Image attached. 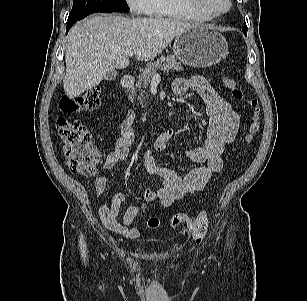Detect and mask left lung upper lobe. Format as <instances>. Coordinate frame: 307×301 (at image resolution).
I'll return each mask as SVG.
<instances>
[{
  "label": "left lung upper lobe",
  "mask_w": 307,
  "mask_h": 301,
  "mask_svg": "<svg viewBox=\"0 0 307 301\" xmlns=\"http://www.w3.org/2000/svg\"><path fill=\"white\" fill-rule=\"evenodd\" d=\"M242 31L246 35L247 34V26L243 27Z\"/></svg>",
  "instance_id": "obj_1"
}]
</instances>
